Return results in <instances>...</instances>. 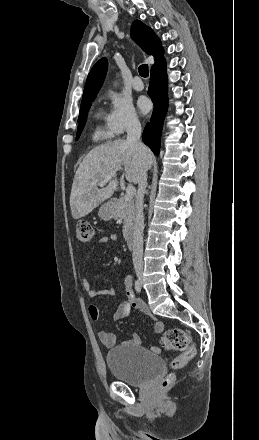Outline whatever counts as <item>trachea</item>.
<instances>
[{
  "instance_id": "1",
  "label": "trachea",
  "mask_w": 259,
  "mask_h": 440,
  "mask_svg": "<svg viewBox=\"0 0 259 440\" xmlns=\"http://www.w3.org/2000/svg\"><path fill=\"white\" fill-rule=\"evenodd\" d=\"M138 71H139V74L144 78L148 77V75H149L148 65H146V64L139 66Z\"/></svg>"
}]
</instances>
